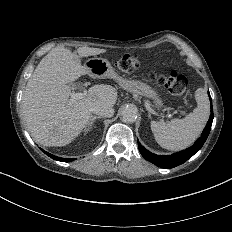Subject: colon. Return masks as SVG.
Returning <instances> with one entry per match:
<instances>
[{"label":"colon","instance_id":"colon-1","mask_svg":"<svg viewBox=\"0 0 232 232\" xmlns=\"http://www.w3.org/2000/svg\"><path fill=\"white\" fill-rule=\"evenodd\" d=\"M118 66H122L123 73H140L137 68V61H130V56H116ZM158 84L165 86L166 91H172V94H185L186 87L190 86V81H180L174 74L160 72L156 76Z\"/></svg>","mask_w":232,"mask_h":232}]
</instances>
